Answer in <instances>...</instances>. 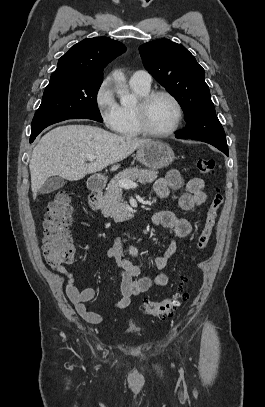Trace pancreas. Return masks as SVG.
I'll return each instance as SVG.
<instances>
[{"label":"pancreas","mask_w":265,"mask_h":407,"mask_svg":"<svg viewBox=\"0 0 265 407\" xmlns=\"http://www.w3.org/2000/svg\"><path fill=\"white\" fill-rule=\"evenodd\" d=\"M158 172L154 170H145L138 168H127L117 174L108 184L106 192L98 199V207L106 217H113L116 221L122 220L127 216V208L123 203L122 187L120 180H131L142 184L152 183L157 179Z\"/></svg>","instance_id":"obj_1"}]
</instances>
